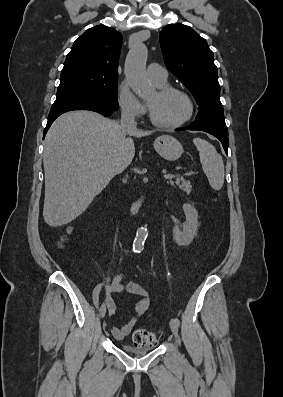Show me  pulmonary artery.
Segmentation results:
<instances>
[{
  "mask_svg": "<svg viewBox=\"0 0 283 397\" xmlns=\"http://www.w3.org/2000/svg\"><path fill=\"white\" fill-rule=\"evenodd\" d=\"M147 74L154 82L162 83L167 80L166 70L157 63H151L148 65Z\"/></svg>",
  "mask_w": 283,
  "mask_h": 397,
  "instance_id": "1",
  "label": "pulmonary artery"
}]
</instances>
